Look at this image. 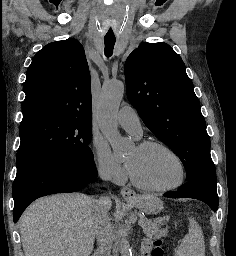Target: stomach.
<instances>
[{
    "mask_svg": "<svg viewBox=\"0 0 236 256\" xmlns=\"http://www.w3.org/2000/svg\"><path fill=\"white\" fill-rule=\"evenodd\" d=\"M131 203L146 214H158L163 208L162 201L151 196L141 197L139 200L132 201Z\"/></svg>",
    "mask_w": 236,
    "mask_h": 256,
    "instance_id": "stomach-1",
    "label": "stomach"
}]
</instances>
